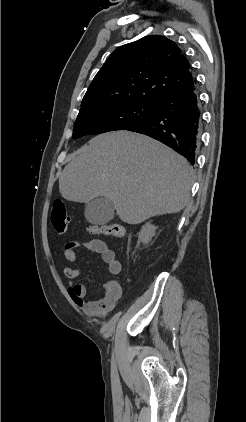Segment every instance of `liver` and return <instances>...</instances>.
I'll return each instance as SVG.
<instances>
[{"label": "liver", "mask_w": 246, "mask_h": 422, "mask_svg": "<svg viewBox=\"0 0 246 422\" xmlns=\"http://www.w3.org/2000/svg\"><path fill=\"white\" fill-rule=\"evenodd\" d=\"M194 172L188 161L148 136L130 131L98 135L65 166L59 190L68 201L106 197L120 219L139 224L181 211L190 200Z\"/></svg>", "instance_id": "6515ba94"}]
</instances>
